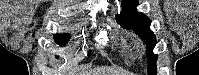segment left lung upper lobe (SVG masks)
Wrapping results in <instances>:
<instances>
[{"instance_id": "1", "label": "left lung upper lobe", "mask_w": 199, "mask_h": 75, "mask_svg": "<svg viewBox=\"0 0 199 75\" xmlns=\"http://www.w3.org/2000/svg\"><path fill=\"white\" fill-rule=\"evenodd\" d=\"M137 5V0H122L123 10L120 14L116 15V19L122 26L127 29H133L142 38L147 48L148 74L156 75V61L158 56L152 53L156 45V37L150 30V19L143 13L137 12Z\"/></svg>"}]
</instances>
